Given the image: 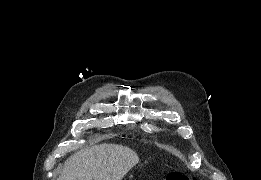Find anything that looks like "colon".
I'll return each mask as SVG.
<instances>
[{"label":"colon","mask_w":261,"mask_h":180,"mask_svg":"<svg viewBox=\"0 0 261 180\" xmlns=\"http://www.w3.org/2000/svg\"><path fill=\"white\" fill-rule=\"evenodd\" d=\"M192 177L186 173L171 172L166 176V180H191Z\"/></svg>","instance_id":"5ec220e1"}]
</instances>
